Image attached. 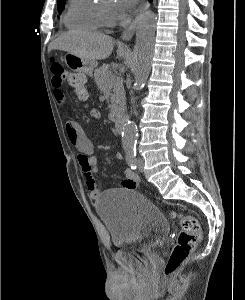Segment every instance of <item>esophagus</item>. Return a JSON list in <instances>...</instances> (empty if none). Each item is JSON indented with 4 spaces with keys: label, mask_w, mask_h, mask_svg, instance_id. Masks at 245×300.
Returning <instances> with one entry per match:
<instances>
[{
    "label": "esophagus",
    "mask_w": 245,
    "mask_h": 300,
    "mask_svg": "<svg viewBox=\"0 0 245 300\" xmlns=\"http://www.w3.org/2000/svg\"><path fill=\"white\" fill-rule=\"evenodd\" d=\"M149 2L145 1L139 8L137 15L133 22L122 32L121 39L124 41H129L134 36L138 23L141 19L142 14L149 8Z\"/></svg>",
    "instance_id": "esophagus-1"
}]
</instances>
